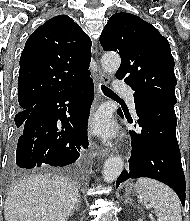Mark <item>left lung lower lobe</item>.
Here are the masks:
<instances>
[{
    "instance_id": "left-lung-lower-lobe-1",
    "label": "left lung lower lobe",
    "mask_w": 190,
    "mask_h": 221,
    "mask_svg": "<svg viewBox=\"0 0 190 221\" xmlns=\"http://www.w3.org/2000/svg\"><path fill=\"white\" fill-rule=\"evenodd\" d=\"M134 102L139 117L134 126L139 132L130 131L133 149L129 169L122 171L116 188L128 178H153L170 186L185 205L186 185L176 139L174 104L157 99H134Z\"/></svg>"
}]
</instances>
